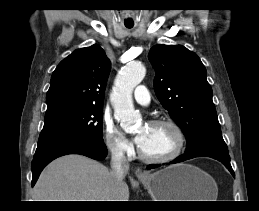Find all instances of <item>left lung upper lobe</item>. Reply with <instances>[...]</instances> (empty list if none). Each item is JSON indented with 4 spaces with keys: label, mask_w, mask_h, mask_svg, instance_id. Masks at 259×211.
Masks as SVG:
<instances>
[{
    "label": "left lung upper lobe",
    "mask_w": 259,
    "mask_h": 211,
    "mask_svg": "<svg viewBox=\"0 0 259 211\" xmlns=\"http://www.w3.org/2000/svg\"><path fill=\"white\" fill-rule=\"evenodd\" d=\"M148 57L156 72L157 98L186 136L185 153L205 147L228 150L199 57L181 45L154 46Z\"/></svg>",
    "instance_id": "left-lung-upper-lobe-1"
}]
</instances>
